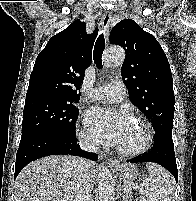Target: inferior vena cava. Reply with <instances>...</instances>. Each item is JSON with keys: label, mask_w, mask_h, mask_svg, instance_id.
<instances>
[{"label": "inferior vena cava", "mask_w": 196, "mask_h": 201, "mask_svg": "<svg viewBox=\"0 0 196 201\" xmlns=\"http://www.w3.org/2000/svg\"><path fill=\"white\" fill-rule=\"evenodd\" d=\"M79 142L81 149L86 152L97 153L99 151V144L88 138H81ZM89 164L90 162L83 158H78L74 161V175L76 181L74 186L75 201H92V188L88 176Z\"/></svg>", "instance_id": "inferior-vena-cava-1"}]
</instances>
